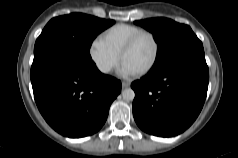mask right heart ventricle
<instances>
[{
  "instance_id": "1",
  "label": "right heart ventricle",
  "mask_w": 238,
  "mask_h": 158,
  "mask_svg": "<svg viewBox=\"0 0 238 158\" xmlns=\"http://www.w3.org/2000/svg\"><path fill=\"white\" fill-rule=\"evenodd\" d=\"M140 31L143 29L134 25L117 24L105 30L101 38L110 48L120 54L129 39Z\"/></svg>"
}]
</instances>
